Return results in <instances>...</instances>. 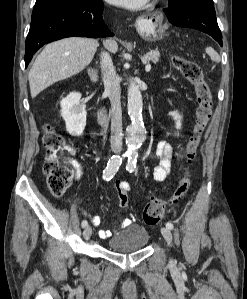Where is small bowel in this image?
I'll list each match as a JSON object with an SVG mask.
<instances>
[{
    "label": "small bowel",
    "mask_w": 247,
    "mask_h": 299,
    "mask_svg": "<svg viewBox=\"0 0 247 299\" xmlns=\"http://www.w3.org/2000/svg\"><path fill=\"white\" fill-rule=\"evenodd\" d=\"M156 156L159 160L158 165L153 170V178L157 182H162L169 177L171 173V167L173 160H177L179 153L173 149V147L166 141H160L156 147ZM179 168L181 166L179 165ZM116 188L119 195L120 206L125 208L127 206L128 194L130 192V184L127 181H118L116 183ZM83 213L88 217L93 225H99L101 223V218L98 215H90L83 211ZM133 222L132 218L124 219L119 225L114 228L117 231L119 228L128 226ZM99 235L102 238H107L111 236L110 231H100Z\"/></svg>",
    "instance_id": "c3829d8e"
}]
</instances>
